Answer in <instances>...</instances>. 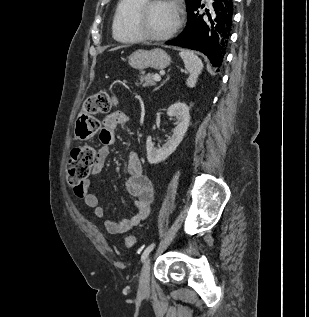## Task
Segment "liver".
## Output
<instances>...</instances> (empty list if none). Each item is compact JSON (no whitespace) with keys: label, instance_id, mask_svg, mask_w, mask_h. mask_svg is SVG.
Instances as JSON below:
<instances>
[{"label":"liver","instance_id":"1","mask_svg":"<svg viewBox=\"0 0 309 317\" xmlns=\"http://www.w3.org/2000/svg\"><path fill=\"white\" fill-rule=\"evenodd\" d=\"M118 48H120V47L114 48V49H112V50H116V49H118Z\"/></svg>","mask_w":309,"mask_h":317}]
</instances>
